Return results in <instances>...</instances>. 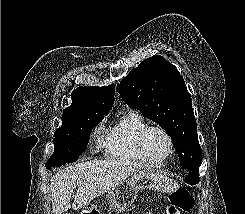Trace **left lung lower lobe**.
<instances>
[{"instance_id":"0a47b994","label":"left lung lower lobe","mask_w":245,"mask_h":214,"mask_svg":"<svg viewBox=\"0 0 245 214\" xmlns=\"http://www.w3.org/2000/svg\"><path fill=\"white\" fill-rule=\"evenodd\" d=\"M184 181L191 185L197 184L200 181L199 171H188V174L185 177Z\"/></svg>"}]
</instances>
